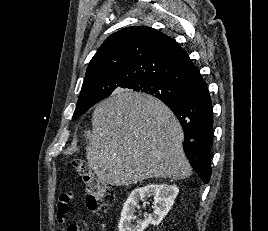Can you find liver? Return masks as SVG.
<instances>
[{
  "label": "liver",
  "instance_id": "liver-1",
  "mask_svg": "<svg viewBox=\"0 0 268 231\" xmlns=\"http://www.w3.org/2000/svg\"><path fill=\"white\" fill-rule=\"evenodd\" d=\"M86 158L98 180L115 186L192 174L173 112L146 94L119 90L100 102L87 133Z\"/></svg>",
  "mask_w": 268,
  "mask_h": 231
}]
</instances>
